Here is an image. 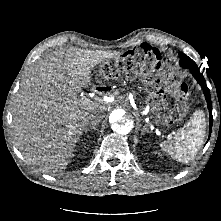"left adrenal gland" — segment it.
Masks as SVG:
<instances>
[{
    "label": "left adrenal gland",
    "instance_id": "a2214340",
    "mask_svg": "<svg viewBox=\"0 0 221 221\" xmlns=\"http://www.w3.org/2000/svg\"><path fill=\"white\" fill-rule=\"evenodd\" d=\"M148 131L146 126L143 128L142 132Z\"/></svg>",
    "mask_w": 221,
    "mask_h": 221
}]
</instances>
